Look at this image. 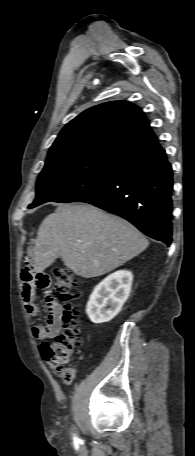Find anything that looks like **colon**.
Here are the masks:
<instances>
[{
  "label": "colon",
  "mask_w": 195,
  "mask_h": 456,
  "mask_svg": "<svg viewBox=\"0 0 195 456\" xmlns=\"http://www.w3.org/2000/svg\"><path fill=\"white\" fill-rule=\"evenodd\" d=\"M55 289L60 305V318L63 323L62 331L51 342H43L39 349L49 367L59 374L65 383H71L75 378L74 369L68 366L80 343L76 326L78 308L74 301L78 298V278L68 268L56 266L53 268Z\"/></svg>",
  "instance_id": "obj_1"
}]
</instances>
